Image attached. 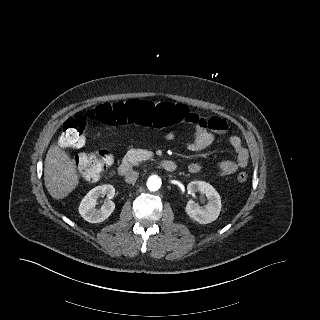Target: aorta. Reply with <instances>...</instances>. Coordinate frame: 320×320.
I'll return each instance as SVG.
<instances>
[{
    "label": "aorta",
    "instance_id": "aorta-1",
    "mask_svg": "<svg viewBox=\"0 0 320 320\" xmlns=\"http://www.w3.org/2000/svg\"><path fill=\"white\" fill-rule=\"evenodd\" d=\"M162 180L157 175H151L147 180V188L150 191H158L161 188Z\"/></svg>",
    "mask_w": 320,
    "mask_h": 320
}]
</instances>
